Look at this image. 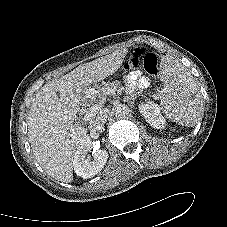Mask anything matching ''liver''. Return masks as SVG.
Returning <instances> with one entry per match:
<instances>
[{
    "label": "liver",
    "instance_id": "6515ba94",
    "mask_svg": "<svg viewBox=\"0 0 227 227\" xmlns=\"http://www.w3.org/2000/svg\"><path fill=\"white\" fill-rule=\"evenodd\" d=\"M127 53L123 48L79 65L35 94L27 117L29 141L37 162L56 180L72 182L74 153L87 137L88 129L74 124L85 90L114 74Z\"/></svg>",
    "mask_w": 227,
    "mask_h": 227
}]
</instances>
